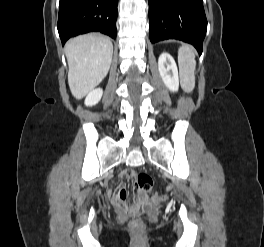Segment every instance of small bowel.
<instances>
[{"instance_id": "1", "label": "small bowel", "mask_w": 264, "mask_h": 247, "mask_svg": "<svg viewBox=\"0 0 264 247\" xmlns=\"http://www.w3.org/2000/svg\"><path fill=\"white\" fill-rule=\"evenodd\" d=\"M124 177H129V176H132L133 173L132 172H125L122 174ZM126 198H127V192L125 190V187L122 185L120 186L114 193H113V196H112V200L115 204H120L124 201H126ZM138 198L142 200L143 198V194L142 193H138Z\"/></svg>"}]
</instances>
